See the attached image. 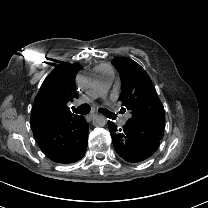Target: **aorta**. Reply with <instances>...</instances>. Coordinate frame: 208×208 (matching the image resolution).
I'll use <instances>...</instances> for the list:
<instances>
[{
    "label": "aorta",
    "instance_id": "obj_1",
    "mask_svg": "<svg viewBox=\"0 0 208 208\" xmlns=\"http://www.w3.org/2000/svg\"><path fill=\"white\" fill-rule=\"evenodd\" d=\"M106 118L103 116V115H94L93 116V120H92V123L95 127H103L106 125Z\"/></svg>",
    "mask_w": 208,
    "mask_h": 208
}]
</instances>
